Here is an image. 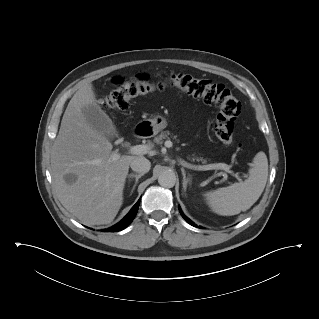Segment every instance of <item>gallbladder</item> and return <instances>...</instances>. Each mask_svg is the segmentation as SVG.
Returning a JSON list of instances; mask_svg holds the SVG:
<instances>
[{"mask_svg": "<svg viewBox=\"0 0 319 319\" xmlns=\"http://www.w3.org/2000/svg\"><path fill=\"white\" fill-rule=\"evenodd\" d=\"M87 122L107 139L117 137V131L110 118L96 105H89L83 109Z\"/></svg>", "mask_w": 319, "mask_h": 319, "instance_id": "obj_1", "label": "gallbladder"}]
</instances>
